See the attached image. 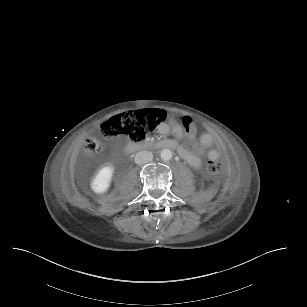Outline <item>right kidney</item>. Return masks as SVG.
<instances>
[{
	"instance_id": "1",
	"label": "right kidney",
	"mask_w": 307,
	"mask_h": 307,
	"mask_svg": "<svg viewBox=\"0 0 307 307\" xmlns=\"http://www.w3.org/2000/svg\"><path fill=\"white\" fill-rule=\"evenodd\" d=\"M113 172L112 166L101 168L91 181V189L97 194L106 192L110 186Z\"/></svg>"
}]
</instances>
